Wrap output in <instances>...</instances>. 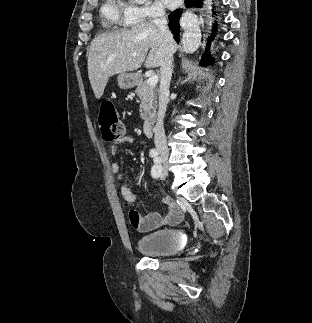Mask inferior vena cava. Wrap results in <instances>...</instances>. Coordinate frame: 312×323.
<instances>
[{
  "mask_svg": "<svg viewBox=\"0 0 312 323\" xmlns=\"http://www.w3.org/2000/svg\"><path fill=\"white\" fill-rule=\"evenodd\" d=\"M152 18V24H155V26H157L159 34L163 38L162 60L160 64L161 80L159 88V108L156 126L153 130L154 144L156 148H159V150L168 152L163 120L165 118L170 80L172 78V62L173 54L175 52V42L167 26V18L165 16L164 10H156Z\"/></svg>",
  "mask_w": 312,
  "mask_h": 323,
  "instance_id": "602c4592",
  "label": "inferior vena cava"
}]
</instances>
